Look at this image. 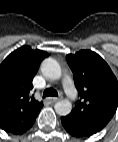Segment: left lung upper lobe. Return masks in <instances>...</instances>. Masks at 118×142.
<instances>
[{"label":"left lung upper lobe","instance_id":"left-lung-upper-lobe-1","mask_svg":"<svg viewBox=\"0 0 118 142\" xmlns=\"http://www.w3.org/2000/svg\"><path fill=\"white\" fill-rule=\"evenodd\" d=\"M66 58L80 96L68 116L95 134L116 112L118 81L108 64L95 52L82 50Z\"/></svg>","mask_w":118,"mask_h":142}]
</instances>
